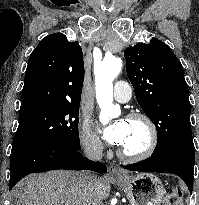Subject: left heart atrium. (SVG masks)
I'll use <instances>...</instances> for the list:
<instances>
[{
    "mask_svg": "<svg viewBox=\"0 0 199 205\" xmlns=\"http://www.w3.org/2000/svg\"><path fill=\"white\" fill-rule=\"evenodd\" d=\"M105 140L109 144L121 145L127 135V121L118 120L103 130Z\"/></svg>",
    "mask_w": 199,
    "mask_h": 205,
    "instance_id": "39dd6f15",
    "label": "left heart atrium"
}]
</instances>
